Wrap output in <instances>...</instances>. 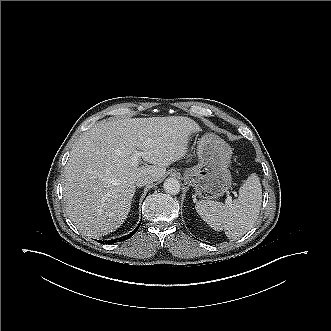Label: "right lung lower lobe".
Returning a JSON list of instances; mask_svg holds the SVG:
<instances>
[{
    "instance_id": "obj_1",
    "label": "right lung lower lobe",
    "mask_w": 331,
    "mask_h": 331,
    "mask_svg": "<svg viewBox=\"0 0 331 331\" xmlns=\"http://www.w3.org/2000/svg\"><path fill=\"white\" fill-rule=\"evenodd\" d=\"M140 225V224H139ZM139 225L137 226V228L132 231L130 234L126 235V236H123V237H120V238H117V239H114V240H108V241H99V243H103V244H112V243H116V242H121L123 240H126L128 238H130L131 236H133L136 231L138 230L139 228Z\"/></svg>"
}]
</instances>
